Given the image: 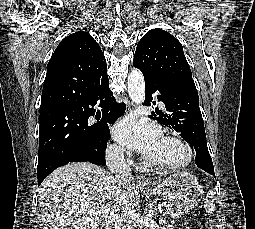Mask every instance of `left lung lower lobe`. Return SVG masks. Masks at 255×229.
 Returning a JSON list of instances; mask_svg holds the SVG:
<instances>
[{"label": "left lung lower lobe", "instance_id": "0a47b994", "mask_svg": "<svg viewBox=\"0 0 255 229\" xmlns=\"http://www.w3.org/2000/svg\"><path fill=\"white\" fill-rule=\"evenodd\" d=\"M146 99L144 105H151L152 94L156 91L158 101L165 104L166 112H152L151 118L181 134L192 138L196 149V166L214 174V167L208 151L204 122L199 108L198 92L180 82L144 76Z\"/></svg>", "mask_w": 255, "mask_h": 229}]
</instances>
